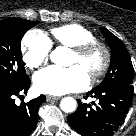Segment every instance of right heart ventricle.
<instances>
[{
	"instance_id": "obj_1",
	"label": "right heart ventricle",
	"mask_w": 136,
	"mask_h": 136,
	"mask_svg": "<svg viewBox=\"0 0 136 136\" xmlns=\"http://www.w3.org/2000/svg\"><path fill=\"white\" fill-rule=\"evenodd\" d=\"M53 40L60 45L73 48L81 43L95 40L94 33L78 23H69L51 29Z\"/></svg>"
}]
</instances>
